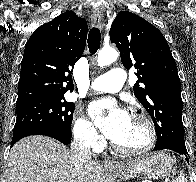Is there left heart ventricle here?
<instances>
[{"mask_svg": "<svg viewBox=\"0 0 196 182\" xmlns=\"http://www.w3.org/2000/svg\"><path fill=\"white\" fill-rule=\"evenodd\" d=\"M147 139L145 125L140 120L131 117L127 128L115 142L124 148L138 149L145 145Z\"/></svg>", "mask_w": 196, "mask_h": 182, "instance_id": "obj_1", "label": "left heart ventricle"}]
</instances>
